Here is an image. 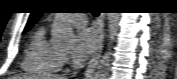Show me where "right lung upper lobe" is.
Segmentation results:
<instances>
[{"label": "right lung upper lobe", "mask_w": 177, "mask_h": 79, "mask_svg": "<svg viewBox=\"0 0 177 79\" xmlns=\"http://www.w3.org/2000/svg\"><path fill=\"white\" fill-rule=\"evenodd\" d=\"M42 13L43 12H33V13H31L26 27L27 26H33L37 22V20L41 17Z\"/></svg>", "instance_id": "right-lung-upper-lobe-1"}]
</instances>
